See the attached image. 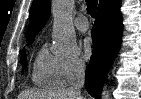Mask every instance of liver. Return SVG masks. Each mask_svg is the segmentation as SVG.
Here are the masks:
<instances>
[{"label":"liver","instance_id":"liver-1","mask_svg":"<svg viewBox=\"0 0 141 99\" xmlns=\"http://www.w3.org/2000/svg\"><path fill=\"white\" fill-rule=\"evenodd\" d=\"M18 99H83L80 90L66 88L57 91L31 89L21 92Z\"/></svg>","mask_w":141,"mask_h":99}]
</instances>
